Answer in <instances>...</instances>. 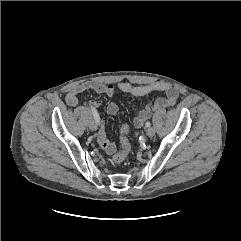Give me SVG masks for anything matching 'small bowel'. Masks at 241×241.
<instances>
[{
	"mask_svg": "<svg viewBox=\"0 0 241 241\" xmlns=\"http://www.w3.org/2000/svg\"><path fill=\"white\" fill-rule=\"evenodd\" d=\"M88 89H92L99 94H105L109 97H113L117 89L136 97L145 96L155 92H163L165 94L164 97L156 98L151 104L139 111L134 119V126L137 129L141 128L149 119L152 110L172 106L179 95L178 91L171 84L166 82H154L145 85H134L129 82H119L117 85L103 84L99 82H85L72 87L68 91L66 95L67 104L71 107L77 106L79 103V95ZM89 105L98 108L100 107L101 102L91 101ZM118 110L119 107L115 102H110L106 107V112L109 115L117 114ZM98 143L109 155L116 151L115 144L108 140L104 128H101L98 132Z\"/></svg>",
	"mask_w": 241,
	"mask_h": 241,
	"instance_id": "small-bowel-1",
	"label": "small bowel"
}]
</instances>
